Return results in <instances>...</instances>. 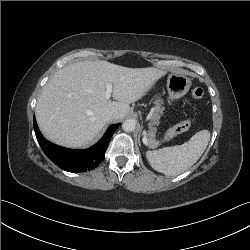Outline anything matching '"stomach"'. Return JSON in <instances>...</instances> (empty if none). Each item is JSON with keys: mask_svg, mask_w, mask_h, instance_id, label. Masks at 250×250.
<instances>
[{"mask_svg": "<svg viewBox=\"0 0 250 250\" xmlns=\"http://www.w3.org/2000/svg\"><path fill=\"white\" fill-rule=\"evenodd\" d=\"M191 87V79L182 73H172L168 76L167 90L169 100L174 101L183 97Z\"/></svg>", "mask_w": 250, "mask_h": 250, "instance_id": "stomach-1", "label": "stomach"}]
</instances>
